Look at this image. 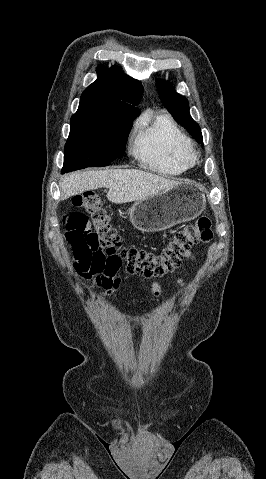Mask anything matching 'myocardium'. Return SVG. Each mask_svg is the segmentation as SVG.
<instances>
[{
	"instance_id": "obj_1",
	"label": "myocardium",
	"mask_w": 266,
	"mask_h": 479,
	"mask_svg": "<svg viewBox=\"0 0 266 479\" xmlns=\"http://www.w3.org/2000/svg\"><path fill=\"white\" fill-rule=\"evenodd\" d=\"M191 157L194 161L196 160V154L194 152H192Z\"/></svg>"
}]
</instances>
